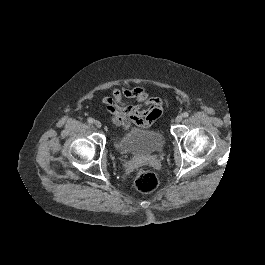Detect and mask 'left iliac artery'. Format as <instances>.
Masks as SVG:
<instances>
[{"mask_svg":"<svg viewBox=\"0 0 265 265\" xmlns=\"http://www.w3.org/2000/svg\"><path fill=\"white\" fill-rule=\"evenodd\" d=\"M182 115H183V117H188L189 113L188 112H184Z\"/></svg>","mask_w":265,"mask_h":265,"instance_id":"obj_1","label":"left iliac artery"}]
</instances>
